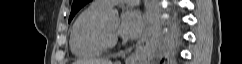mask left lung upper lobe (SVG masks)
I'll list each match as a JSON object with an SVG mask.
<instances>
[{"label":"left lung upper lobe","mask_w":242,"mask_h":64,"mask_svg":"<svg viewBox=\"0 0 242 64\" xmlns=\"http://www.w3.org/2000/svg\"><path fill=\"white\" fill-rule=\"evenodd\" d=\"M91 0H74L72 4V9L69 17V22L73 19L74 15Z\"/></svg>","instance_id":"obj_1"}]
</instances>
